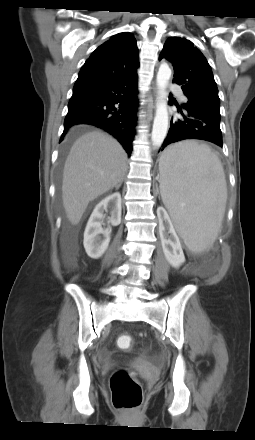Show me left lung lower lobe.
Returning <instances> with one entry per match:
<instances>
[{
	"label": "left lung lower lobe",
	"instance_id": "left-lung-lower-lobe-1",
	"mask_svg": "<svg viewBox=\"0 0 255 440\" xmlns=\"http://www.w3.org/2000/svg\"><path fill=\"white\" fill-rule=\"evenodd\" d=\"M184 108L185 113L180 109L183 116L182 119L171 120L170 129L163 142L161 151H163L167 145L185 139L206 140L222 147L220 114L211 110L187 105H184Z\"/></svg>",
	"mask_w": 255,
	"mask_h": 440
}]
</instances>
